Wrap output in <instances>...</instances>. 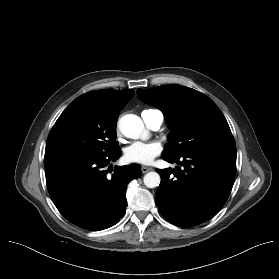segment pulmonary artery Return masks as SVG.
<instances>
[{
    "label": "pulmonary artery",
    "mask_w": 279,
    "mask_h": 279,
    "mask_svg": "<svg viewBox=\"0 0 279 279\" xmlns=\"http://www.w3.org/2000/svg\"><path fill=\"white\" fill-rule=\"evenodd\" d=\"M141 117L152 130H158L163 123V114L159 110H144Z\"/></svg>",
    "instance_id": "e3ab8cb5"
}]
</instances>
